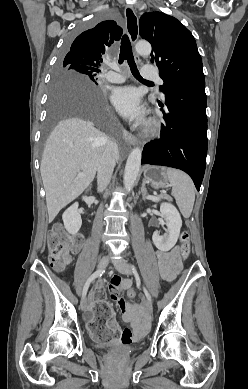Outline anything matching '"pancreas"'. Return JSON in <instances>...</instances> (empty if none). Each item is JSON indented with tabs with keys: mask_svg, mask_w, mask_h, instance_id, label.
<instances>
[{
	"mask_svg": "<svg viewBox=\"0 0 248 389\" xmlns=\"http://www.w3.org/2000/svg\"><path fill=\"white\" fill-rule=\"evenodd\" d=\"M162 197L167 199V200H171V197H169L168 195H163Z\"/></svg>",
	"mask_w": 248,
	"mask_h": 389,
	"instance_id": "1",
	"label": "pancreas"
}]
</instances>
